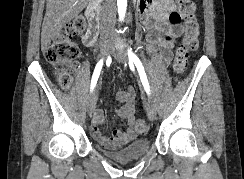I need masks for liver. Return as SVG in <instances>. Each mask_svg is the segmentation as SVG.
<instances>
[{
    "mask_svg": "<svg viewBox=\"0 0 244 179\" xmlns=\"http://www.w3.org/2000/svg\"><path fill=\"white\" fill-rule=\"evenodd\" d=\"M90 0H47L41 32V50L45 52L51 40L62 28L76 18Z\"/></svg>",
    "mask_w": 244,
    "mask_h": 179,
    "instance_id": "obj_1",
    "label": "liver"
}]
</instances>
